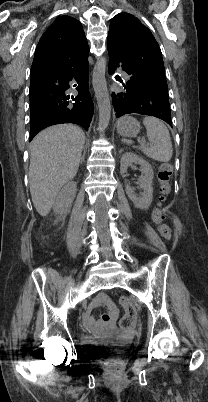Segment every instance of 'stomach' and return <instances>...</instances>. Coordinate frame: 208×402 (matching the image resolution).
<instances>
[{
  "label": "stomach",
  "mask_w": 208,
  "mask_h": 402,
  "mask_svg": "<svg viewBox=\"0 0 208 402\" xmlns=\"http://www.w3.org/2000/svg\"><path fill=\"white\" fill-rule=\"evenodd\" d=\"M140 124L135 120V118H131V116H123L117 122V132L121 134V136H126V138H136L137 134L140 132Z\"/></svg>",
  "instance_id": "0dacf381"
}]
</instances>
